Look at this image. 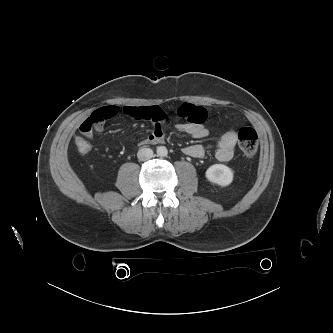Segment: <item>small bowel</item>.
Wrapping results in <instances>:
<instances>
[{
	"mask_svg": "<svg viewBox=\"0 0 333 333\" xmlns=\"http://www.w3.org/2000/svg\"><path fill=\"white\" fill-rule=\"evenodd\" d=\"M121 115L133 119L149 120L154 124L152 132L142 141L143 144H159L164 141V127L168 122V117L164 110L158 106L149 107H117L107 106L92 112L80 125L81 133L91 137L95 131L102 130L108 120H113ZM178 115L182 121L176 128L192 136L195 139H202L208 136L209 131L204 122L207 118L205 108L191 103H183L178 108ZM237 144V134L234 130H228L217 140L215 156L221 162L231 160L235 153ZM184 154L193 158H202L205 155V148L201 144H191L183 148Z\"/></svg>",
	"mask_w": 333,
	"mask_h": 333,
	"instance_id": "obj_1",
	"label": "small bowel"
}]
</instances>
